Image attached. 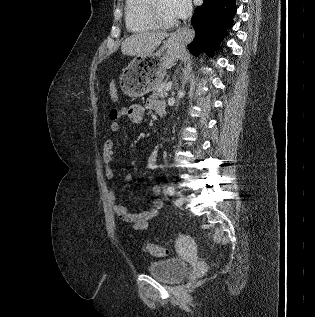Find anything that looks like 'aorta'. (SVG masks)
Here are the masks:
<instances>
[{
	"label": "aorta",
	"instance_id": "1",
	"mask_svg": "<svg viewBox=\"0 0 315 317\" xmlns=\"http://www.w3.org/2000/svg\"><path fill=\"white\" fill-rule=\"evenodd\" d=\"M186 75H187V74H185V76H184V80H185V81L187 80ZM185 81H184V82H185ZM183 94H184V83H183V85H182V89H180V90L178 91V100H180V98L182 97Z\"/></svg>",
	"mask_w": 315,
	"mask_h": 317
}]
</instances>
